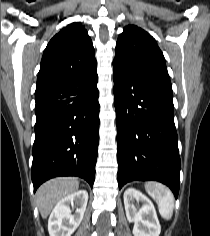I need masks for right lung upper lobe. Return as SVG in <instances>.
<instances>
[{
    "mask_svg": "<svg viewBox=\"0 0 210 236\" xmlns=\"http://www.w3.org/2000/svg\"><path fill=\"white\" fill-rule=\"evenodd\" d=\"M97 68L92 41L81 23H72L48 43L38 73L36 92Z\"/></svg>",
    "mask_w": 210,
    "mask_h": 236,
    "instance_id": "right-lung-upper-lobe-1",
    "label": "right lung upper lobe"
}]
</instances>
